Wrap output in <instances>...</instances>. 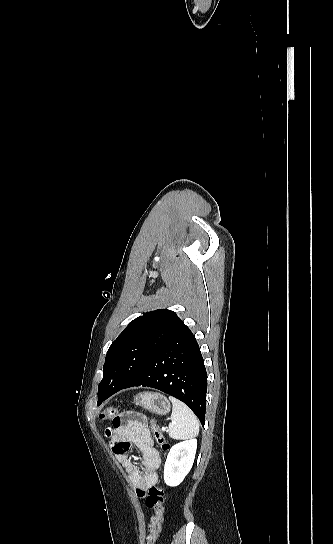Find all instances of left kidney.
<instances>
[{
  "label": "left kidney",
  "mask_w": 333,
  "mask_h": 544,
  "mask_svg": "<svg viewBox=\"0 0 333 544\" xmlns=\"http://www.w3.org/2000/svg\"><path fill=\"white\" fill-rule=\"evenodd\" d=\"M197 439L176 443L170 449L164 466V481L168 486H177L189 473L195 458Z\"/></svg>",
  "instance_id": "obj_1"
}]
</instances>
